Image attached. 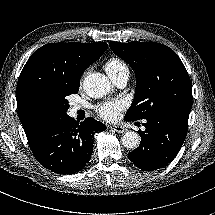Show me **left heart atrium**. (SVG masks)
Instances as JSON below:
<instances>
[{
	"label": "left heart atrium",
	"instance_id": "39dd6f15",
	"mask_svg": "<svg viewBox=\"0 0 215 215\" xmlns=\"http://www.w3.org/2000/svg\"><path fill=\"white\" fill-rule=\"evenodd\" d=\"M126 108V102L122 99H115L98 104L95 107L96 113L106 121H115Z\"/></svg>",
	"mask_w": 215,
	"mask_h": 215
}]
</instances>
